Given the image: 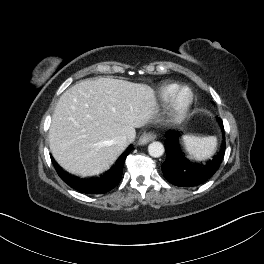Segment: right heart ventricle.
<instances>
[{
    "label": "right heart ventricle",
    "instance_id": "e07e8e85",
    "mask_svg": "<svg viewBox=\"0 0 264 264\" xmlns=\"http://www.w3.org/2000/svg\"><path fill=\"white\" fill-rule=\"evenodd\" d=\"M176 87H177V84L175 83H169V84L164 85L161 90L162 97L164 99L169 98V96L176 89Z\"/></svg>",
    "mask_w": 264,
    "mask_h": 264
}]
</instances>
